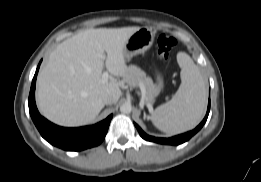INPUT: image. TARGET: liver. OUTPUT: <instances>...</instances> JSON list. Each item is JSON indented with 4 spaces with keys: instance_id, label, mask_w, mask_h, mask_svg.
<instances>
[{
    "instance_id": "1",
    "label": "liver",
    "mask_w": 261,
    "mask_h": 182,
    "mask_svg": "<svg viewBox=\"0 0 261 182\" xmlns=\"http://www.w3.org/2000/svg\"><path fill=\"white\" fill-rule=\"evenodd\" d=\"M139 29H87L60 43L37 78L41 114L58 125L82 126L98 116L104 107V95H111L116 103L125 82H102V71L105 66L113 76H126L123 49Z\"/></svg>"
}]
</instances>
